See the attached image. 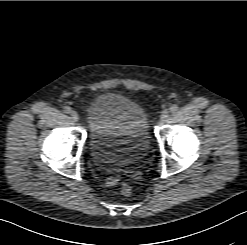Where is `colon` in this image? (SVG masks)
Wrapping results in <instances>:
<instances>
[{
    "label": "colon",
    "instance_id": "colon-1",
    "mask_svg": "<svg viewBox=\"0 0 247 245\" xmlns=\"http://www.w3.org/2000/svg\"><path fill=\"white\" fill-rule=\"evenodd\" d=\"M122 195L128 197L132 194V188L128 184H123L120 188Z\"/></svg>",
    "mask_w": 247,
    "mask_h": 245
}]
</instances>
